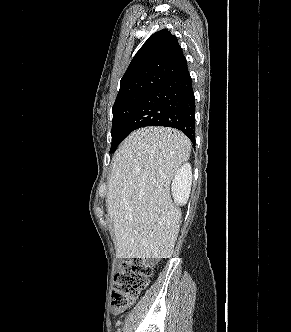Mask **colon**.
<instances>
[{"instance_id":"colon-1","label":"colon","mask_w":291,"mask_h":332,"mask_svg":"<svg viewBox=\"0 0 291 332\" xmlns=\"http://www.w3.org/2000/svg\"><path fill=\"white\" fill-rule=\"evenodd\" d=\"M152 267L138 258L124 259L114 278L111 306L115 313L126 310L147 286Z\"/></svg>"}]
</instances>
